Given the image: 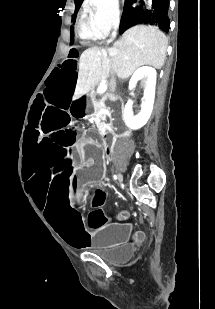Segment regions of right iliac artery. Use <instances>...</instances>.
Instances as JSON below:
<instances>
[{
  "label": "right iliac artery",
  "mask_w": 215,
  "mask_h": 309,
  "mask_svg": "<svg viewBox=\"0 0 215 309\" xmlns=\"http://www.w3.org/2000/svg\"><path fill=\"white\" fill-rule=\"evenodd\" d=\"M114 179H115V180L117 179V176H116V175H114Z\"/></svg>",
  "instance_id": "right-iliac-artery-1"
}]
</instances>
